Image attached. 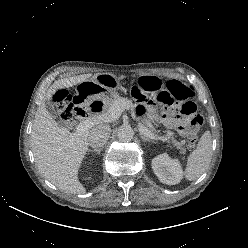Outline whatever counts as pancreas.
<instances>
[{"mask_svg": "<svg viewBox=\"0 0 248 248\" xmlns=\"http://www.w3.org/2000/svg\"><path fill=\"white\" fill-rule=\"evenodd\" d=\"M124 101L126 103H128L129 105L132 104V102L130 100H128L127 98H123L117 94H114L112 96V98L107 102L106 108L105 110H107L109 107H111L114 103L116 102H121ZM139 125L144 126L145 128H147L151 133L157 132L152 125L151 119L149 118H143V119H139ZM166 140L170 141L174 146H176L177 149L180 150L181 154L185 153V148L183 147L184 142H178L173 138V132L171 131H167L166 135L163 136Z\"/></svg>", "mask_w": 248, "mask_h": 248, "instance_id": "cf45deb5", "label": "pancreas"}]
</instances>
